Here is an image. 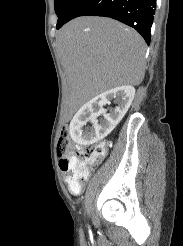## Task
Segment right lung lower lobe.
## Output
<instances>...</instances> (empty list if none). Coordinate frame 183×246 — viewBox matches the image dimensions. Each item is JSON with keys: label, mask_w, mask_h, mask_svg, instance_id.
Segmentation results:
<instances>
[{"label": "right lung lower lobe", "mask_w": 183, "mask_h": 246, "mask_svg": "<svg viewBox=\"0 0 183 246\" xmlns=\"http://www.w3.org/2000/svg\"><path fill=\"white\" fill-rule=\"evenodd\" d=\"M156 0H79L69 17L60 24L79 16H104L136 29L149 45Z\"/></svg>", "instance_id": "98d812e1"}]
</instances>
